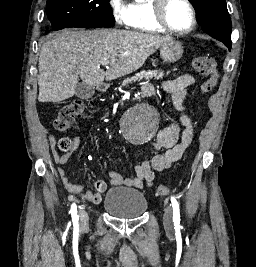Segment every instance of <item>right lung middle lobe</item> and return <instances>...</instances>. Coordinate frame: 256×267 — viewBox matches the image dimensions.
I'll use <instances>...</instances> for the list:
<instances>
[{"label": "right lung middle lobe", "instance_id": "dd1d6c3e", "mask_svg": "<svg viewBox=\"0 0 256 267\" xmlns=\"http://www.w3.org/2000/svg\"><path fill=\"white\" fill-rule=\"evenodd\" d=\"M110 0H47L46 32L67 27H112Z\"/></svg>", "mask_w": 256, "mask_h": 267}]
</instances>
